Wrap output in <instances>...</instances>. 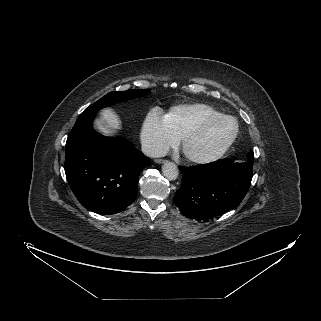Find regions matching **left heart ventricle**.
<instances>
[{
  "label": "left heart ventricle",
  "instance_id": "1",
  "mask_svg": "<svg viewBox=\"0 0 321 321\" xmlns=\"http://www.w3.org/2000/svg\"><path fill=\"white\" fill-rule=\"evenodd\" d=\"M233 130L234 123L231 120L217 121L189 140L186 149L195 155L211 154L232 134Z\"/></svg>",
  "mask_w": 321,
  "mask_h": 321
}]
</instances>
